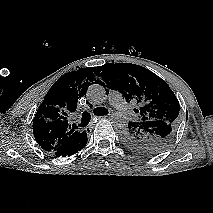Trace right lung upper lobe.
<instances>
[{"label": "right lung upper lobe", "mask_w": 213, "mask_h": 213, "mask_svg": "<svg viewBox=\"0 0 213 213\" xmlns=\"http://www.w3.org/2000/svg\"><path fill=\"white\" fill-rule=\"evenodd\" d=\"M94 67L82 68L60 77L47 92L33 121V134L37 143L48 152L63 150L85 132L76 131L68 124L75 112L77 101L95 81Z\"/></svg>", "instance_id": "1"}]
</instances>
